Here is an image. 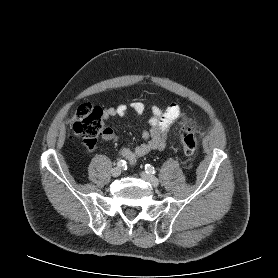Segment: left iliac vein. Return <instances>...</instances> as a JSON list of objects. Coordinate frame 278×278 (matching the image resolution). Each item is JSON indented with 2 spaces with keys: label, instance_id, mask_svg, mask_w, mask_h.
<instances>
[{
  "label": "left iliac vein",
  "instance_id": "obj_1",
  "mask_svg": "<svg viewBox=\"0 0 278 278\" xmlns=\"http://www.w3.org/2000/svg\"><path fill=\"white\" fill-rule=\"evenodd\" d=\"M140 175L142 179L149 182L153 187H157L159 185V180L155 176L146 172H141Z\"/></svg>",
  "mask_w": 278,
  "mask_h": 278
}]
</instances>
